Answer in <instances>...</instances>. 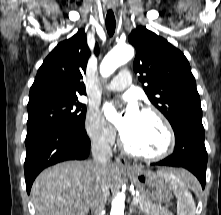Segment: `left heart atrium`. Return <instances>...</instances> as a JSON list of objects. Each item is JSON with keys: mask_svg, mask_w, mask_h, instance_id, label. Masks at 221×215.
<instances>
[{"mask_svg": "<svg viewBox=\"0 0 221 215\" xmlns=\"http://www.w3.org/2000/svg\"><path fill=\"white\" fill-rule=\"evenodd\" d=\"M124 103L125 106L122 111H119L114 103L106 104L104 108L106 117L116 126L122 136L132 129L140 114L136 100L133 97H125Z\"/></svg>", "mask_w": 221, "mask_h": 215, "instance_id": "obj_1", "label": "left heart atrium"}]
</instances>
